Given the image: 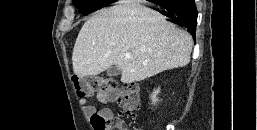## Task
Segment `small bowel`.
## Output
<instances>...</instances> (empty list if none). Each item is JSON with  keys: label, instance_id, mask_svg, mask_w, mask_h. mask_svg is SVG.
I'll list each match as a JSON object with an SVG mask.
<instances>
[{"label": "small bowel", "instance_id": "small-bowel-1", "mask_svg": "<svg viewBox=\"0 0 257 130\" xmlns=\"http://www.w3.org/2000/svg\"><path fill=\"white\" fill-rule=\"evenodd\" d=\"M98 98L101 100L110 99L109 97H107L103 94H98ZM80 104L84 107L85 113L87 115H92L93 113L96 112L95 108L93 106L89 105L86 97L80 98ZM100 113L105 114V115H112L111 110L108 108L101 110Z\"/></svg>", "mask_w": 257, "mask_h": 130}]
</instances>
